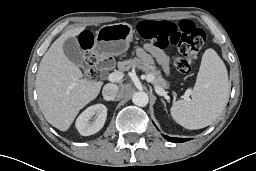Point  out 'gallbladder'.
I'll use <instances>...</instances> for the list:
<instances>
[{"label":"gallbladder","mask_w":256,"mask_h":171,"mask_svg":"<svg viewBox=\"0 0 256 171\" xmlns=\"http://www.w3.org/2000/svg\"><path fill=\"white\" fill-rule=\"evenodd\" d=\"M63 51L66 57L72 61L76 66L84 68L83 55L79 44L74 37L66 39L63 44Z\"/></svg>","instance_id":"obj_1"}]
</instances>
